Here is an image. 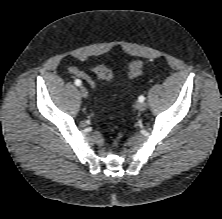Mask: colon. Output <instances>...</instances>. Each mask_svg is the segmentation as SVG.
Masks as SVG:
<instances>
[{
    "label": "colon",
    "mask_w": 222,
    "mask_h": 219,
    "mask_svg": "<svg viewBox=\"0 0 222 219\" xmlns=\"http://www.w3.org/2000/svg\"><path fill=\"white\" fill-rule=\"evenodd\" d=\"M142 69H143V62L141 60H134L130 62L127 71L128 79L132 80L137 78L141 74ZM93 71L96 74V76L100 79L107 81H111L114 79L113 72L105 65H97L93 67Z\"/></svg>",
    "instance_id": "5ec220e1"
}]
</instances>
